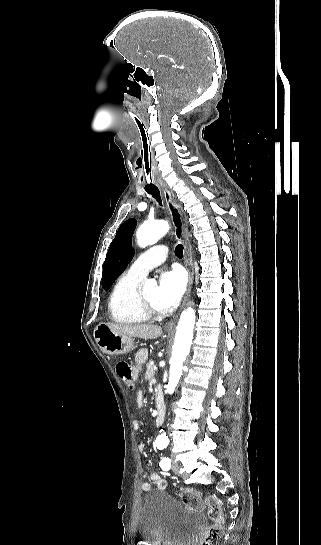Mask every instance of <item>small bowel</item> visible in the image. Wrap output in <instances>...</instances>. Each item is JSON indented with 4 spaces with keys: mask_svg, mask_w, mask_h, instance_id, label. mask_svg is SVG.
<instances>
[{
    "mask_svg": "<svg viewBox=\"0 0 321 545\" xmlns=\"http://www.w3.org/2000/svg\"><path fill=\"white\" fill-rule=\"evenodd\" d=\"M136 403L139 407L143 406L144 404V398L142 393H138L136 396ZM134 429L138 430L140 428V423L138 421L133 422ZM138 450L140 452L144 451V444L138 445ZM149 477L151 479L150 482H143L142 483V490L143 491H149L151 490L152 486H155L157 489H165L167 486V482L165 479H163L157 472H150Z\"/></svg>",
    "mask_w": 321,
    "mask_h": 545,
    "instance_id": "obj_1",
    "label": "small bowel"
}]
</instances>
